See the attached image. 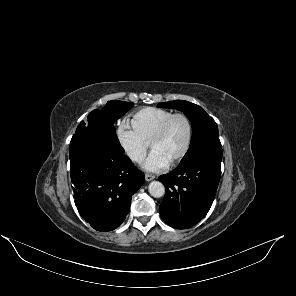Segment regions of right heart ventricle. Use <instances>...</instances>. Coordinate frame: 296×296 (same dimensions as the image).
I'll list each match as a JSON object with an SVG mask.
<instances>
[{
  "instance_id": "e07e8e85",
  "label": "right heart ventricle",
  "mask_w": 296,
  "mask_h": 296,
  "mask_svg": "<svg viewBox=\"0 0 296 296\" xmlns=\"http://www.w3.org/2000/svg\"><path fill=\"white\" fill-rule=\"evenodd\" d=\"M172 114V111L166 109L144 108L132 116L131 125L143 141L151 144L162 123Z\"/></svg>"
}]
</instances>
